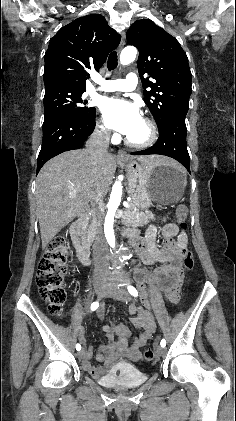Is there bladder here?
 <instances>
[{"mask_svg": "<svg viewBox=\"0 0 236 421\" xmlns=\"http://www.w3.org/2000/svg\"><path fill=\"white\" fill-rule=\"evenodd\" d=\"M144 378L137 377L132 373L121 372L118 374L117 378H111L108 380L107 386L117 389H125L133 386L142 384Z\"/></svg>", "mask_w": 236, "mask_h": 421, "instance_id": "1", "label": "bladder"}]
</instances>
